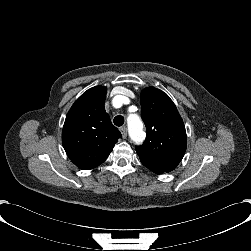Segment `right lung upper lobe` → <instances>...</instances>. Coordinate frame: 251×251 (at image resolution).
<instances>
[{"label": "right lung upper lobe", "instance_id": "obj_1", "mask_svg": "<svg viewBox=\"0 0 251 251\" xmlns=\"http://www.w3.org/2000/svg\"><path fill=\"white\" fill-rule=\"evenodd\" d=\"M107 88L96 86L83 93L69 110L62 144L70 160L90 170L103 163L121 138L104 108Z\"/></svg>", "mask_w": 251, "mask_h": 251}]
</instances>
